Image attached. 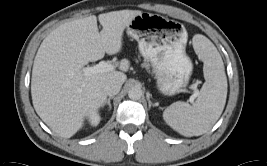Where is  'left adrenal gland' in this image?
Listing matches in <instances>:
<instances>
[{"label":"left adrenal gland","instance_id":"left-adrenal-gland-1","mask_svg":"<svg viewBox=\"0 0 267 166\" xmlns=\"http://www.w3.org/2000/svg\"><path fill=\"white\" fill-rule=\"evenodd\" d=\"M147 100H148L149 108H151V106H157V103L151 102L149 93H147Z\"/></svg>","mask_w":267,"mask_h":166}]
</instances>
